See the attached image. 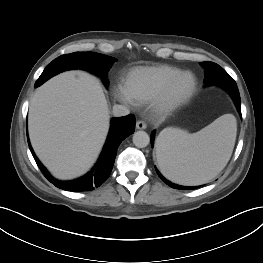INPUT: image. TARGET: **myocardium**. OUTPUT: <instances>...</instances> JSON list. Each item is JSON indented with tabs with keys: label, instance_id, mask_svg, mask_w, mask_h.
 I'll return each instance as SVG.
<instances>
[{
	"label": "myocardium",
	"instance_id": "myocardium-1",
	"mask_svg": "<svg viewBox=\"0 0 263 263\" xmlns=\"http://www.w3.org/2000/svg\"><path fill=\"white\" fill-rule=\"evenodd\" d=\"M191 77V85L181 94L176 92L178 84L185 78ZM197 88V77L191 71H182L171 78L152 99L153 110L159 115H167L187 103Z\"/></svg>",
	"mask_w": 263,
	"mask_h": 263
}]
</instances>
